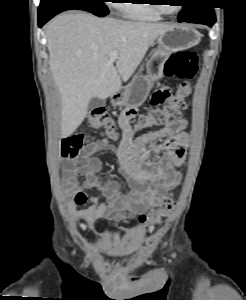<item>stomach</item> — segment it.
Returning <instances> with one entry per match:
<instances>
[{"label":"stomach","instance_id":"1","mask_svg":"<svg viewBox=\"0 0 246 300\" xmlns=\"http://www.w3.org/2000/svg\"><path fill=\"white\" fill-rule=\"evenodd\" d=\"M201 41V34L189 25L169 28L156 41V48L147 62V75L134 77L131 83L111 95L114 106L139 107L147 99L151 83L162 76L163 61L174 52L189 49Z\"/></svg>","mask_w":246,"mask_h":300}]
</instances>
